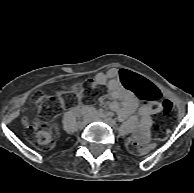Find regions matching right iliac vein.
I'll use <instances>...</instances> for the list:
<instances>
[{
  "label": "right iliac vein",
  "instance_id": "obj_1",
  "mask_svg": "<svg viewBox=\"0 0 194 193\" xmlns=\"http://www.w3.org/2000/svg\"><path fill=\"white\" fill-rule=\"evenodd\" d=\"M89 122L88 121H83L78 124L79 129H83Z\"/></svg>",
  "mask_w": 194,
  "mask_h": 193
}]
</instances>
